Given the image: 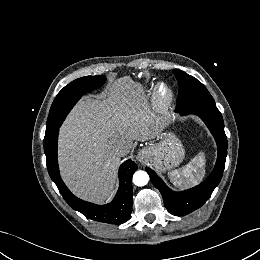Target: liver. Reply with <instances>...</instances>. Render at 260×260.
Here are the masks:
<instances>
[{
	"label": "liver",
	"mask_w": 260,
	"mask_h": 260,
	"mask_svg": "<svg viewBox=\"0 0 260 260\" xmlns=\"http://www.w3.org/2000/svg\"><path fill=\"white\" fill-rule=\"evenodd\" d=\"M134 88L117 84L104 101L85 97L66 122L59 144L60 164L68 186L93 202L108 200L116 186L120 157L113 147L132 140L147 141L158 134L143 98Z\"/></svg>",
	"instance_id": "obj_1"
}]
</instances>
